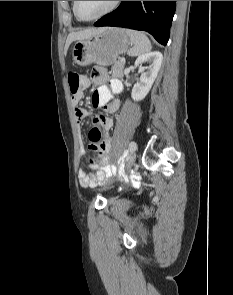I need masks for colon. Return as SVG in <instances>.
Instances as JSON below:
<instances>
[{
  "mask_svg": "<svg viewBox=\"0 0 233 295\" xmlns=\"http://www.w3.org/2000/svg\"><path fill=\"white\" fill-rule=\"evenodd\" d=\"M68 83L73 95L83 92L90 85L89 79H87L86 77L76 72L69 73ZM101 144H102L101 132L99 128L95 126L88 133L89 151L94 154H101Z\"/></svg>",
  "mask_w": 233,
  "mask_h": 295,
  "instance_id": "5ec220e1",
  "label": "colon"
}]
</instances>
